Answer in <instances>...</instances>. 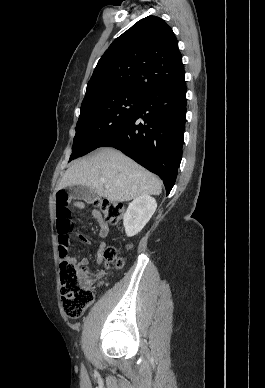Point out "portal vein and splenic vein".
Returning <instances> with one entry per match:
<instances>
[{"label": "portal vein and splenic vein", "mask_w": 265, "mask_h": 388, "mask_svg": "<svg viewBox=\"0 0 265 388\" xmlns=\"http://www.w3.org/2000/svg\"><path fill=\"white\" fill-rule=\"evenodd\" d=\"M100 182H102V184H106V180H104V178H101ZM106 188H108V186H106Z\"/></svg>", "instance_id": "portal-vein-and-splenic-vein-1"}]
</instances>
